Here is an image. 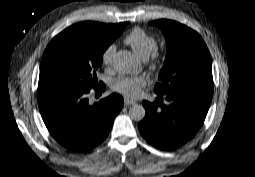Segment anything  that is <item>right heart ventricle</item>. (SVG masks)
Segmentation results:
<instances>
[{"label":"right heart ventricle","mask_w":255,"mask_h":177,"mask_svg":"<svg viewBox=\"0 0 255 177\" xmlns=\"http://www.w3.org/2000/svg\"><path fill=\"white\" fill-rule=\"evenodd\" d=\"M125 43L142 60H146L157 46L155 36L141 28L133 29L125 38Z\"/></svg>","instance_id":"obj_1"}]
</instances>
